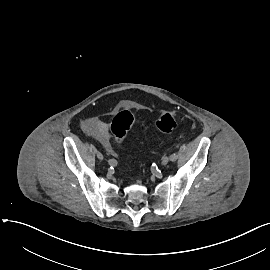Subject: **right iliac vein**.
Here are the masks:
<instances>
[{
  "label": "right iliac vein",
  "mask_w": 270,
  "mask_h": 270,
  "mask_svg": "<svg viewBox=\"0 0 270 270\" xmlns=\"http://www.w3.org/2000/svg\"><path fill=\"white\" fill-rule=\"evenodd\" d=\"M96 155H97V158H98L99 160H103V159H104V157H103V155H102L101 152L97 151V152H96Z\"/></svg>",
  "instance_id": "1"
}]
</instances>
